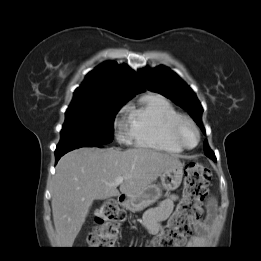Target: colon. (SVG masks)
<instances>
[{
    "label": "colon",
    "instance_id": "colon-1",
    "mask_svg": "<svg viewBox=\"0 0 261 261\" xmlns=\"http://www.w3.org/2000/svg\"><path fill=\"white\" fill-rule=\"evenodd\" d=\"M211 176L210 168L201 163L186 166L182 199L160 233L152 240L153 247L173 248L184 242L191 232L193 222L202 214L201 203L207 195ZM125 217V213L112 199L105 200L95 213V227L87 238L89 246L113 248Z\"/></svg>",
    "mask_w": 261,
    "mask_h": 261
}]
</instances>
